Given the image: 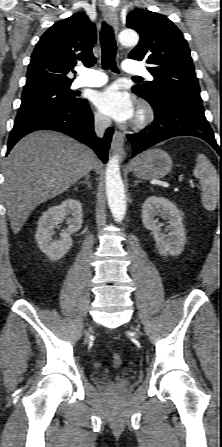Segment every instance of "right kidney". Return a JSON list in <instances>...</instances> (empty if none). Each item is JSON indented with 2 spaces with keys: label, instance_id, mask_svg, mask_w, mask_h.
Returning <instances> with one entry per match:
<instances>
[{
  "label": "right kidney",
  "instance_id": "obj_1",
  "mask_svg": "<svg viewBox=\"0 0 222 447\" xmlns=\"http://www.w3.org/2000/svg\"><path fill=\"white\" fill-rule=\"evenodd\" d=\"M68 228L63 230L59 239H54L53 228L67 216ZM83 223L82 205L78 200L67 199L61 204L50 207L38 221L35 239L40 250L51 260H59L70 250L73 240L71 233L81 229Z\"/></svg>",
  "mask_w": 222,
  "mask_h": 447
}]
</instances>
